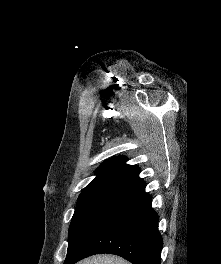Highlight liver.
<instances>
[{"mask_svg":"<svg viewBox=\"0 0 221 264\" xmlns=\"http://www.w3.org/2000/svg\"><path fill=\"white\" fill-rule=\"evenodd\" d=\"M77 264H130L121 257L113 255H97L80 261Z\"/></svg>","mask_w":221,"mask_h":264,"instance_id":"liver-1","label":"liver"}]
</instances>
